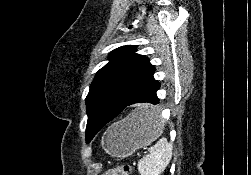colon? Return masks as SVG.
Here are the masks:
<instances>
[{"mask_svg":"<svg viewBox=\"0 0 251 175\" xmlns=\"http://www.w3.org/2000/svg\"><path fill=\"white\" fill-rule=\"evenodd\" d=\"M132 167L128 164H120L107 168L102 175H130Z\"/></svg>","mask_w":251,"mask_h":175,"instance_id":"obj_1","label":"colon"}]
</instances>
